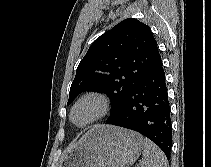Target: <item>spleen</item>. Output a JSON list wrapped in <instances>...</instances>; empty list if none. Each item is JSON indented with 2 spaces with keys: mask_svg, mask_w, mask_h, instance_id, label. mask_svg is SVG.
Here are the masks:
<instances>
[{
  "mask_svg": "<svg viewBox=\"0 0 211 167\" xmlns=\"http://www.w3.org/2000/svg\"><path fill=\"white\" fill-rule=\"evenodd\" d=\"M141 167H167L164 153L147 138L144 139Z\"/></svg>",
  "mask_w": 211,
  "mask_h": 167,
  "instance_id": "1",
  "label": "spleen"
}]
</instances>
